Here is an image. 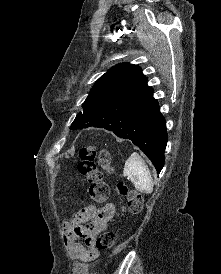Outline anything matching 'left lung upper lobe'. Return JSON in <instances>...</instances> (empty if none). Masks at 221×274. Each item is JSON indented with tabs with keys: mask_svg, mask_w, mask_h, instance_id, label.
I'll use <instances>...</instances> for the list:
<instances>
[{
	"mask_svg": "<svg viewBox=\"0 0 221 274\" xmlns=\"http://www.w3.org/2000/svg\"><path fill=\"white\" fill-rule=\"evenodd\" d=\"M147 88V79L137 65L120 63L110 68L94 84L71 129H81L96 123L94 110L117 101L137 98Z\"/></svg>",
	"mask_w": 221,
	"mask_h": 274,
	"instance_id": "left-lung-upper-lobe-1",
	"label": "left lung upper lobe"
}]
</instances>
